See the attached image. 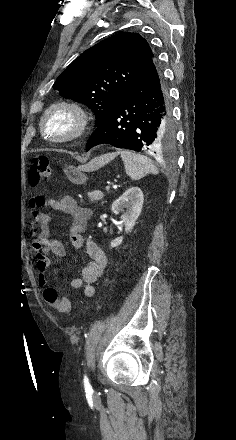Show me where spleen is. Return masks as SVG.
Instances as JSON below:
<instances>
[{
  "mask_svg": "<svg viewBox=\"0 0 236 440\" xmlns=\"http://www.w3.org/2000/svg\"><path fill=\"white\" fill-rule=\"evenodd\" d=\"M119 153L124 162L125 171L132 180H139L148 173L158 172L153 161L144 155L128 150H121Z\"/></svg>",
  "mask_w": 236,
  "mask_h": 440,
  "instance_id": "3e777b00",
  "label": "spleen"
}]
</instances>
